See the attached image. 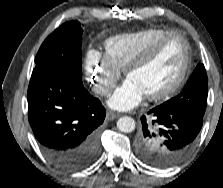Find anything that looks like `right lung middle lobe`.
Here are the masks:
<instances>
[{
	"instance_id": "1",
	"label": "right lung middle lobe",
	"mask_w": 223,
	"mask_h": 188,
	"mask_svg": "<svg viewBox=\"0 0 223 188\" xmlns=\"http://www.w3.org/2000/svg\"><path fill=\"white\" fill-rule=\"evenodd\" d=\"M83 30L78 21L61 25L41 45L32 73L57 74L72 83L83 86L81 36Z\"/></svg>"
}]
</instances>
